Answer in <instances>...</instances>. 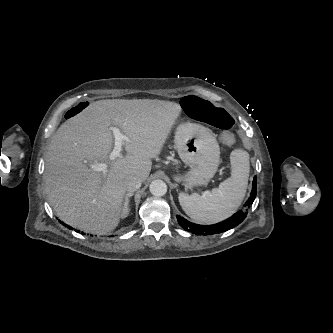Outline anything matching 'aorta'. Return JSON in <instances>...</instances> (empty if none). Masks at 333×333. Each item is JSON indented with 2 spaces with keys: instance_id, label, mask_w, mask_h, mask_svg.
<instances>
[{
  "instance_id": "1",
  "label": "aorta",
  "mask_w": 333,
  "mask_h": 333,
  "mask_svg": "<svg viewBox=\"0 0 333 333\" xmlns=\"http://www.w3.org/2000/svg\"><path fill=\"white\" fill-rule=\"evenodd\" d=\"M150 192L154 196H163L167 192V185L162 180H154L150 184Z\"/></svg>"
}]
</instances>
